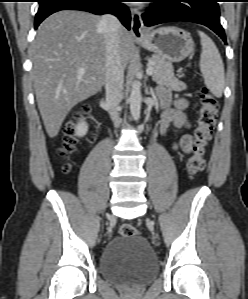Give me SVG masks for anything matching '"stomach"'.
<instances>
[{"label":"stomach","instance_id":"1","mask_svg":"<svg viewBox=\"0 0 248 299\" xmlns=\"http://www.w3.org/2000/svg\"><path fill=\"white\" fill-rule=\"evenodd\" d=\"M138 42L147 50L169 61L180 62L194 49L190 33L178 27H160Z\"/></svg>","mask_w":248,"mask_h":299}]
</instances>
